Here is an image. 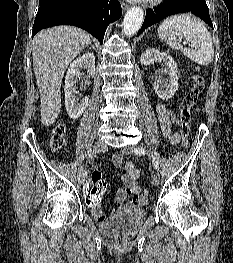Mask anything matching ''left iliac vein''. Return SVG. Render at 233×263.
Returning a JSON list of instances; mask_svg holds the SVG:
<instances>
[{
  "label": "left iliac vein",
  "instance_id": "left-iliac-vein-1",
  "mask_svg": "<svg viewBox=\"0 0 233 263\" xmlns=\"http://www.w3.org/2000/svg\"><path fill=\"white\" fill-rule=\"evenodd\" d=\"M122 153L125 155H132L133 151H134V147L133 146H125L121 149ZM160 181V175L158 173H155L152 177V184L154 186H157L159 184Z\"/></svg>",
  "mask_w": 233,
  "mask_h": 263
}]
</instances>
